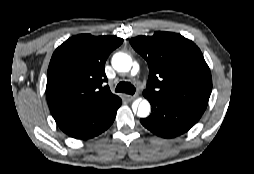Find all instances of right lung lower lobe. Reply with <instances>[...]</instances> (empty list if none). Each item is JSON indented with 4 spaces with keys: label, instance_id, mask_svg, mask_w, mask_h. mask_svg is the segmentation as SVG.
<instances>
[{
    "label": "right lung lower lobe",
    "instance_id": "98d812e1",
    "mask_svg": "<svg viewBox=\"0 0 254 174\" xmlns=\"http://www.w3.org/2000/svg\"><path fill=\"white\" fill-rule=\"evenodd\" d=\"M121 103L119 98L115 101L82 104L55 121L67 135L76 139H90L111 126Z\"/></svg>",
    "mask_w": 254,
    "mask_h": 174
}]
</instances>
